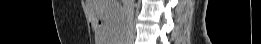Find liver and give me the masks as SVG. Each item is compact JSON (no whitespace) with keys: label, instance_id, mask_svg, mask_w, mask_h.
Returning a JSON list of instances; mask_svg holds the SVG:
<instances>
[{"label":"liver","instance_id":"6515ba94","mask_svg":"<svg viewBox=\"0 0 261 44\" xmlns=\"http://www.w3.org/2000/svg\"><path fill=\"white\" fill-rule=\"evenodd\" d=\"M87 6L93 24H130L124 8H119L118 0H87ZM121 25H95L97 44H118L122 40L124 30Z\"/></svg>","mask_w":261,"mask_h":44}]
</instances>
